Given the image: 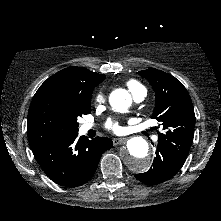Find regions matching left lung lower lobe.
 I'll use <instances>...</instances> for the list:
<instances>
[{
    "label": "left lung lower lobe",
    "instance_id": "left-lung-lower-lobe-1",
    "mask_svg": "<svg viewBox=\"0 0 221 221\" xmlns=\"http://www.w3.org/2000/svg\"><path fill=\"white\" fill-rule=\"evenodd\" d=\"M183 164L166 147L158 144L152 167L145 173L136 174L135 177L148 185L159 184L171 178Z\"/></svg>",
    "mask_w": 221,
    "mask_h": 221
}]
</instances>
